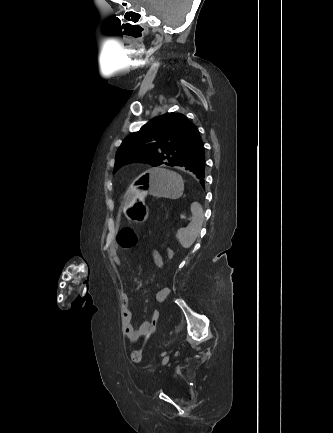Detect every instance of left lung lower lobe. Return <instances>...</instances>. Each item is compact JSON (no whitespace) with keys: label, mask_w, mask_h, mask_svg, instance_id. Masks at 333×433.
I'll return each mask as SVG.
<instances>
[{"label":"left lung lower lobe","mask_w":333,"mask_h":433,"mask_svg":"<svg viewBox=\"0 0 333 433\" xmlns=\"http://www.w3.org/2000/svg\"><path fill=\"white\" fill-rule=\"evenodd\" d=\"M177 166L195 175L200 180L201 185L204 187L206 164L203 142L191 153H189L183 160H181Z\"/></svg>","instance_id":"1"}]
</instances>
